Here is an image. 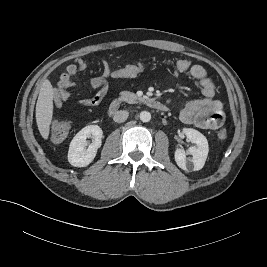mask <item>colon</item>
I'll list each match as a JSON object with an SVG mask.
<instances>
[{
    "label": "colon",
    "mask_w": 267,
    "mask_h": 267,
    "mask_svg": "<svg viewBox=\"0 0 267 267\" xmlns=\"http://www.w3.org/2000/svg\"><path fill=\"white\" fill-rule=\"evenodd\" d=\"M191 67V62L186 59H180L173 64V71L176 74H181L188 71ZM150 69L145 63H132L124 65L116 70L111 71L109 80L122 79V78H134L141 73ZM70 124L65 120H56L51 124L50 138L53 142L63 141L69 134ZM219 140H225L227 137L226 129H221L218 134Z\"/></svg>",
    "instance_id": "5ec220e1"
}]
</instances>
